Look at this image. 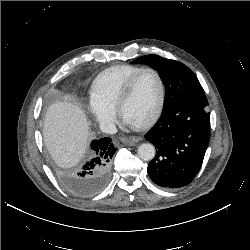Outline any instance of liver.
Returning <instances> with one entry per match:
<instances>
[{
  "label": "liver",
  "instance_id": "6515ba94",
  "mask_svg": "<svg viewBox=\"0 0 250 250\" xmlns=\"http://www.w3.org/2000/svg\"><path fill=\"white\" fill-rule=\"evenodd\" d=\"M43 135L55 163L62 168H70L85 153L89 122L80 106L71 102H56L46 112Z\"/></svg>",
  "mask_w": 250,
  "mask_h": 250
}]
</instances>
